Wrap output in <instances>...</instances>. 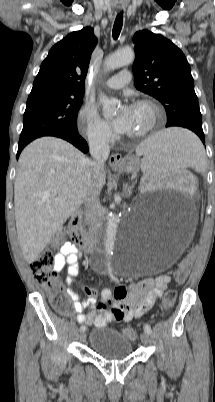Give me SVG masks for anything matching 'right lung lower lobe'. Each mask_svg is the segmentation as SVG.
Instances as JSON below:
<instances>
[{
  "label": "right lung lower lobe",
  "instance_id": "1",
  "mask_svg": "<svg viewBox=\"0 0 215 402\" xmlns=\"http://www.w3.org/2000/svg\"><path fill=\"white\" fill-rule=\"evenodd\" d=\"M52 136H56V137L62 138L64 140H67L68 142L72 143L74 146H76L78 149H80L84 153L88 152L87 142L78 134V131L77 132H62V133L52 135ZM25 146L26 145L18 146L17 159Z\"/></svg>",
  "mask_w": 215,
  "mask_h": 402
}]
</instances>
